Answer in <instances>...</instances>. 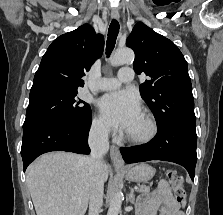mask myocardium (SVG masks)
I'll return each mask as SVG.
<instances>
[{
    "label": "myocardium",
    "instance_id": "myocardium-1",
    "mask_svg": "<svg viewBox=\"0 0 223 215\" xmlns=\"http://www.w3.org/2000/svg\"><path fill=\"white\" fill-rule=\"evenodd\" d=\"M140 113L147 124V131L142 135H134L127 132L120 134L116 137L118 142L132 145H145L155 138L158 130L155 119L147 111H141Z\"/></svg>",
    "mask_w": 223,
    "mask_h": 215
}]
</instances>
